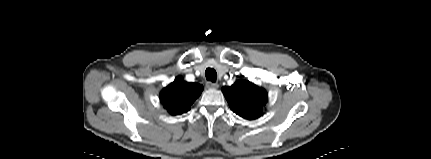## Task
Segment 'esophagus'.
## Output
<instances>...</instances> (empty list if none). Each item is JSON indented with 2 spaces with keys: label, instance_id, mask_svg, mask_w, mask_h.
I'll list each match as a JSON object with an SVG mask.
<instances>
[{
  "label": "esophagus",
  "instance_id": "1",
  "mask_svg": "<svg viewBox=\"0 0 431 159\" xmlns=\"http://www.w3.org/2000/svg\"><path fill=\"white\" fill-rule=\"evenodd\" d=\"M206 86L211 89H217L219 87L218 83L215 82H207Z\"/></svg>",
  "mask_w": 431,
  "mask_h": 159
}]
</instances>
